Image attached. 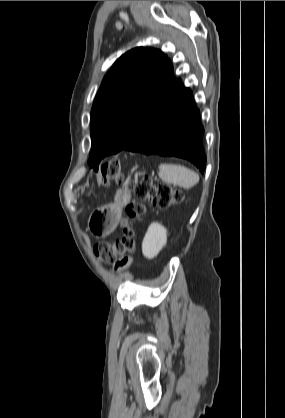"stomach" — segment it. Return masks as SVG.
<instances>
[{
    "label": "stomach",
    "instance_id": "0dacf381",
    "mask_svg": "<svg viewBox=\"0 0 285 418\" xmlns=\"http://www.w3.org/2000/svg\"><path fill=\"white\" fill-rule=\"evenodd\" d=\"M130 198V190H119L114 203L105 205L95 211L88 222L91 233L96 237H105L110 234L118 223L122 207L130 202Z\"/></svg>",
    "mask_w": 285,
    "mask_h": 418
}]
</instances>
